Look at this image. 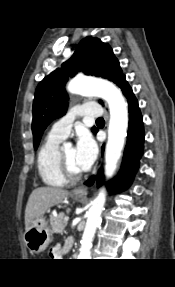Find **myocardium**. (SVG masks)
Masks as SVG:
<instances>
[{
	"label": "myocardium",
	"instance_id": "obj_1",
	"mask_svg": "<svg viewBox=\"0 0 175 287\" xmlns=\"http://www.w3.org/2000/svg\"><path fill=\"white\" fill-rule=\"evenodd\" d=\"M58 162H59L60 169H61V171H62V173L66 179L78 180L81 178L83 172L82 171H75L69 166V164L66 160V157L64 155L63 148L59 149Z\"/></svg>",
	"mask_w": 175,
	"mask_h": 287
}]
</instances>
